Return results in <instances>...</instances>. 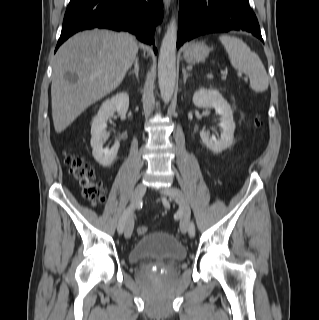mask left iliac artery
Here are the masks:
<instances>
[{"label":"left iliac artery","mask_w":319,"mask_h":320,"mask_svg":"<svg viewBox=\"0 0 319 320\" xmlns=\"http://www.w3.org/2000/svg\"><path fill=\"white\" fill-rule=\"evenodd\" d=\"M189 235H190V237H194V235H195V226H194L193 222H191L190 226H189Z\"/></svg>","instance_id":"obj_1"}]
</instances>
